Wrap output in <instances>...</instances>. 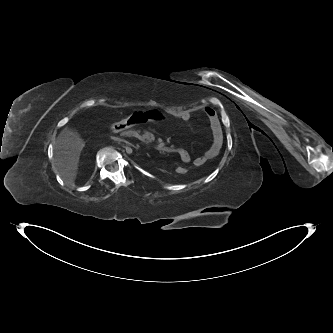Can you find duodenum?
I'll list each match as a JSON object with an SVG mask.
<instances>
[{"mask_svg": "<svg viewBox=\"0 0 333 333\" xmlns=\"http://www.w3.org/2000/svg\"><path fill=\"white\" fill-rule=\"evenodd\" d=\"M127 136H133V137H136L137 136V132L136 131H127V132H122L120 134V137L121 138H124V137H127ZM156 149L158 151H170L169 148L167 147H164V146H157Z\"/></svg>", "mask_w": 333, "mask_h": 333, "instance_id": "1", "label": "duodenum"}]
</instances>
